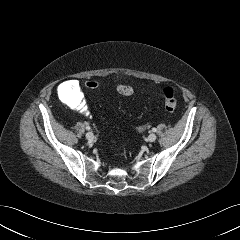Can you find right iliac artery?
Here are the masks:
<instances>
[{"label": "right iliac artery", "instance_id": "82829eb1", "mask_svg": "<svg viewBox=\"0 0 240 240\" xmlns=\"http://www.w3.org/2000/svg\"><path fill=\"white\" fill-rule=\"evenodd\" d=\"M86 129H87V130H90L91 128H90V126H86Z\"/></svg>", "mask_w": 240, "mask_h": 240}]
</instances>
